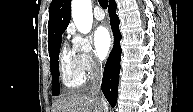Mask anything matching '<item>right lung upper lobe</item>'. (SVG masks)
Instances as JSON below:
<instances>
[{
	"mask_svg": "<svg viewBox=\"0 0 193 112\" xmlns=\"http://www.w3.org/2000/svg\"><path fill=\"white\" fill-rule=\"evenodd\" d=\"M70 19L71 0H53L49 8L48 46H50L60 34H63Z\"/></svg>",
	"mask_w": 193,
	"mask_h": 112,
	"instance_id": "right-lung-upper-lobe-1",
	"label": "right lung upper lobe"
}]
</instances>
